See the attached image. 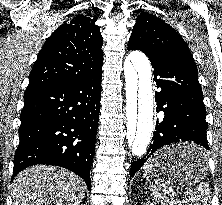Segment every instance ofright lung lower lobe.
Wrapping results in <instances>:
<instances>
[{
	"label": "right lung lower lobe",
	"mask_w": 222,
	"mask_h": 205,
	"mask_svg": "<svg viewBox=\"0 0 222 205\" xmlns=\"http://www.w3.org/2000/svg\"><path fill=\"white\" fill-rule=\"evenodd\" d=\"M102 69L82 80L26 89L12 179L36 164L67 168L91 186Z\"/></svg>",
	"instance_id": "98d812e1"
}]
</instances>
